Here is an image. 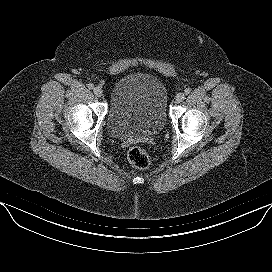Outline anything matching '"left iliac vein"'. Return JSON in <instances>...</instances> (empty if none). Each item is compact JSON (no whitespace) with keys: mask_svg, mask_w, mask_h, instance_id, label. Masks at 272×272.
<instances>
[{"mask_svg":"<svg viewBox=\"0 0 272 272\" xmlns=\"http://www.w3.org/2000/svg\"><path fill=\"white\" fill-rule=\"evenodd\" d=\"M185 99V94L180 92L176 95L175 100L177 103L182 102Z\"/></svg>","mask_w":272,"mask_h":272,"instance_id":"4c4485c4","label":"left iliac vein"}]
</instances>
